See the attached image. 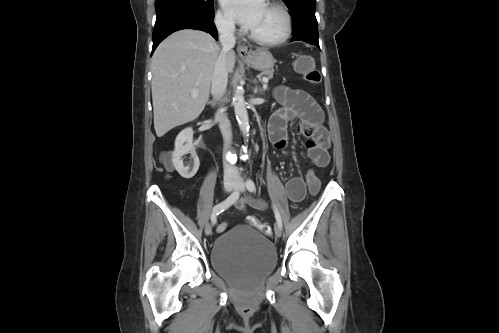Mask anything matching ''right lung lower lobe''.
Wrapping results in <instances>:
<instances>
[{
	"label": "right lung lower lobe",
	"mask_w": 499,
	"mask_h": 333,
	"mask_svg": "<svg viewBox=\"0 0 499 333\" xmlns=\"http://www.w3.org/2000/svg\"><path fill=\"white\" fill-rule=\"evenodd\" d=\"M214 15L209 17L177 13L156 20L153 31L152 53L159 43L171 33L182 29H197L211 34L217 40V30L213 23Z\"/></svg>",
	"instance_id": "right-lung-lower-lobe-1"
}]
</instances>
